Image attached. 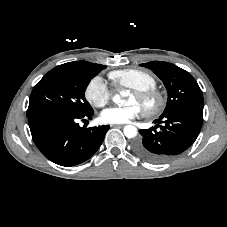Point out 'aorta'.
I'll list each match as a JSON object with an SVG mask.
<instances>
[{
  "mask_svg": "<svg viewBox=\"0 0 227 227\" xmlns=\"http://www.w3.org/2000/svg\"><path fill=\"white\" fill-rule=\"evenodd\" d=\"M120 96H125L124 91H120V95L116 94L113 96L112 100L114 103L120 105L123 103ZM124 135L127 138H134L137 135V128L133 125H126L123 129Z\"/></svg>",
  "mask_w": 227,
  "mask_h": 227,
  "instance_id": "aorta-1",
  "label": "aorta"
}]
</instances>
